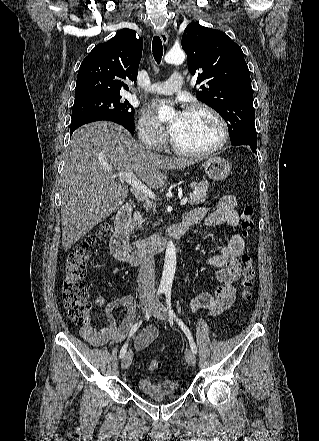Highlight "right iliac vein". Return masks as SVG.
Listing matches in <instances>:
<instances>
[{
    "label": "right iliac vein",
    "instance_id": "obj_1",
    "mask_svg": "<svg viewBox=\"0 0 319 441\" xmlns=\"http://www.w3.org/2000/svg\"><path fill=\"white\" fill-rule=\"evenodd\" d=\"M149 306H150L149 300L142 301L141 304L142 312L145 313L148 310ZM132 360H133V352L129 350L122 359L121 362L122 369H127L131 365Z\"/></svg>",
    "mask_w": 319,
    "mask_h": 441
}]
</instances>
